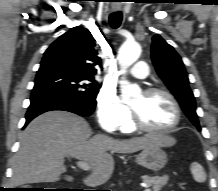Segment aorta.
I'll return each instance as SVG.
<instances>
[{"label": "aorta", "mask_w": 218, "mask_h": 191, "mask_svg": "<svg viewBox=\"0 0 218 191\" xmlns=\"http://www.w3.org/2000/svg\"><path fill=\"white\" fill-rule=\"evenodd\" d=\"M141 54V47L136 42H125L118 51V62L121 67L122 73L138 60ZM121 96L124 103H130L132 98L141 93L139 86L129 83L123 79L120 82Z\"/></svg>", "instance_id": "aorta-1"}]
</instances>
